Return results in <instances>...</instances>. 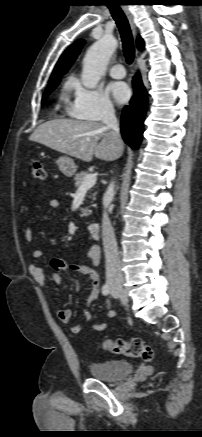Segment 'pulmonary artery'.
<instances>
[{"mask_svg": "<svg viewBox=\"0 0 202 437\" xmlns=\"http://www.w3.org/2000/svg\"><path fill=\"white\" fill-rule=\"evenodd\" d=\"M109 74L115 79H121L125 77L126 72L122 64H115L110 68Z\"/></svg>", "mask_w": 202, "mask_h": 437, "instance_id": "pulmonary-artery-1", "label": "pulmonary artery"}]
</instances>
